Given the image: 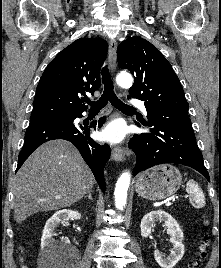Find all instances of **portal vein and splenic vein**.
<instances>
[{
	"mask_svg": "<svg viewBox=\"0 0 221 268\" xmlns=\"http://www.w3.org/2000/svg\"><path fill=\"white\" fill-rule=\"evenodd\" d=\"M167 207L168 206H170V205H172V202H171V199H168L167 201H166V204H165Z\"/></svg>",
	"mask_w": 221,
	"mask_h": 268,
	"instance_id": "obj_1",
	"label": "portal vein and splenic vein"
}]
</instances>
